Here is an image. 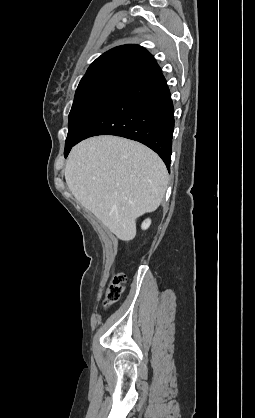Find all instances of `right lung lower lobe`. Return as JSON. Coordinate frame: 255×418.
I'll return each mask as SVG.
<instances>
[{
  "mask_svg": "<svg viewBox=\"0 0 255 418\" xmlns=\"http://www.w3.org/2000/svg\"><path fill=\"white\" fill-rule=\"evenodd\" d=\"M174 108L163 74L147 77L114 95L89 121L78 138L65 147V157L83 139L116 135L141 142L170 168Z\"/></svg>",
  "mask_w": 255,
  "mask_h": 418,
  "instance_id": "1",
  "label": "right lung lower lobe"
}]
</instances>
